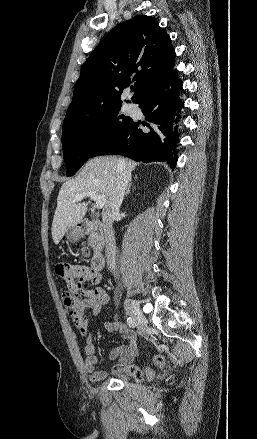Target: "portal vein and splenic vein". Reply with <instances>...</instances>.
<instances>
[{
  "instance_id": "18ae733b",
  "label": "portal vein and splenic vein",
  "mask_w": 257,
  "mask_h": 439,
  "mask_svg": "<svg viewBox=\"0 0 257 439\" xmlns=\"http://www.w3.org/2000/svg\"><path fill=\"white\" fill-rule=\"evenodd\" d=\"M90 197L96 203V208L101 209L106 204V198L104 195H99L96 191H87L77 194L74 198V202H80L84 197Z\"/></svg>"
}]
</instances>
